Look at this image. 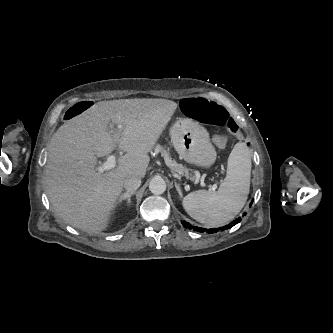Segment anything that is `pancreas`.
I'll return each instance as SVG.
<instances>
[{
  "instance_id": "cf45deb5",
  "label": "pancreas",
  "mask_w": 333,
  "mask_h": 333,
  "mask_svg": "<svg viewBox=\"0 0 333 333\" xmlns=\"http://www.w3.org/2000/svg\"><path fill=\"white\" fill-rule=\"evenodd\" d=\"M156 152H161V155L164 157L166 165L171 169L173 173H176V175H184L187 178H193L194 176L190 172V169L186 168L185 166L181 164H177L175 161L171 160L169 154L167 151L160 145H157L155 147Z\"/></svg>"
}]
</instances>
